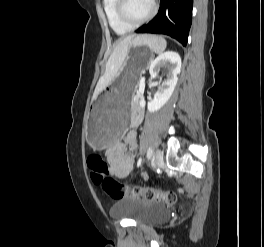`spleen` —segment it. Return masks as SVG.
<instances>
[{
  "label": "spleen",
  "mask_w": 264,
  "mask_h": 247,
  "mask_svg": "<svg viewBox=\"0 0 264 247\" xmlns=\"http://www.w3.org/2000/svg\"><path fill=\"white\" fill-rule=\"evenodd\" d=\"M153 52L159 54L166 49L167 42L163 37L155 35H146L143 40Z\"/></svg>",
  "instance_id": "spleen-1"
}]
</instances>
